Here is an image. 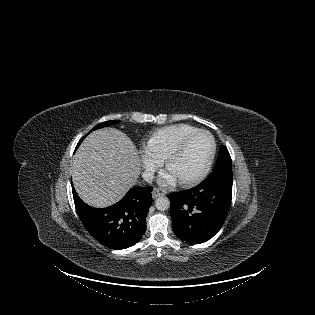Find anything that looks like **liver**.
<instances>
[{
    "mask_svg": "<svg viewBox=\"0 0 315 315\" xmlns=\"http://www.w3.org/2000/svg\"><path fill=\"white\" fill-rule=\"evenodd\" d=\"M136 146L123 132L103 128L89 134L72 161V180L81 199L103 208L119 201L140 174Z\"/></svg>",
    "mask_w": 315,
    "mask_h": 315,
    "instance_id": "liver-1",
    "label": "liver"
}]
</instances>
